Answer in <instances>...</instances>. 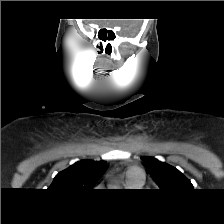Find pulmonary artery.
<instances>
[{"mask_svg":"<svg viewBox=\"0 0 224 224\" xmlns=\"http://www.w3.org/2000/svg\"><path fill=\"white\" fill-rule=\"evenodd\" d=\"M127 180L133 185H141L143 183L142 171L137 168H130L127 171Z\"/></svg>","mask_w":224,"mask_h":224,"instance_id":"pulmonary-artery-1","label":"pulmonary artery"}]
</instances>
